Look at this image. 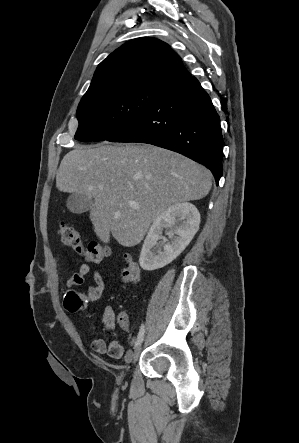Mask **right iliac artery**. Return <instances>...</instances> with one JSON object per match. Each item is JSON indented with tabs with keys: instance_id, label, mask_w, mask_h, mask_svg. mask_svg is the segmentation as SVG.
<instances>
[{
	"instance_id": "1",
	"label": "right iliac artery",
	"mask_w": 299,
	"mask_h": 443,
	"mask_svg": "<svg viewBox=\"0 0 299 443\" xmlns=\"http://www.w3.org/2000/svg\"><path fill=\"white\" fill-rule=\"evenodd\" d=\"M144 333H145L144 326L141 325L140 331H139L138 336H137V340L135 342V348H137L138 346L141 345V343H142V341L144 339Z\"/></svg>"
}]
</instances>
